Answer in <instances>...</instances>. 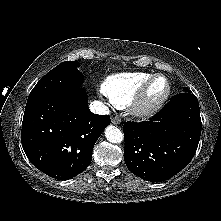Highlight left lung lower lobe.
<instances>
[{
  "instance_id": "0a47b994",
  "label": "left lung lower lobe",
  "mask_w": 221,
  "mask_h": 221,
  "mask_svg": "<svg viewBox=\"0 0 221 221\" xmlns=\"http://www.w3.org/2000/svg\"><path fill=\"white\" fill-rule=\"evenodd\" d=\"M196 96H174L151 120L125 122L124 160L136 176L151 182L165 180L193 158L201 134Z\"/></svg>"
}]
</instances>
